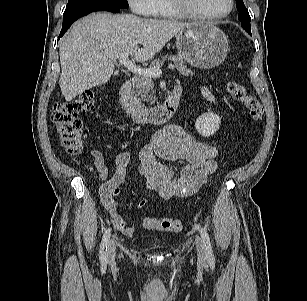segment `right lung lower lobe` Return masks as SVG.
<instances>
[{
  "instance_id": "right-lung-lower-lobe-1",
  "label": "right lung lower lobe",
  "mask_w": 307,
  "mask_h": 301,
  "mask_svg": "<svg viewBox=\"0 0 307 301\" xmlns=\"http://www.w3.org/2000/svg\"><path fill=\"white\" fill-rule=\"evenodd\" d=\"M120 10H121V8L102 7V8L90 9V10H87V11H83V12L65 17V18H63V25H62V29H61V32H60V35H59V39L68 30V28L71 26V24L82 16L88 15V14L95 12V11H109V12L115 13V12H120Z\"/></svg>"
}]
</instances>
